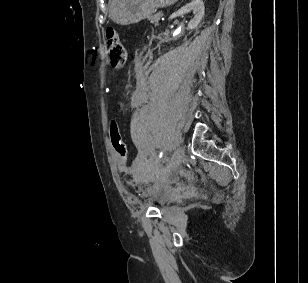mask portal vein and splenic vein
Wrapping results in <instances>:
<instances>
[{
    "label": "portal vein and splenic vein",
    "instance_id": "1",
    "mask_svg": "<svg viewBox=\"0 0 308 283\" xmlns=\"http://www.w3.org/2000/svg\"><path fill=\"white\" fill-rule=\"evenodd\" d=\"M163 14L161 12H159V16L161 17Z\"/></svg>",
    "mask_w": 308,
    "mask_h": 283
}]
</instances>
